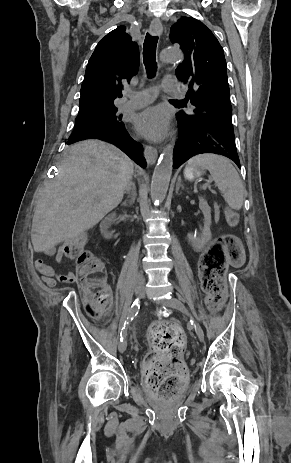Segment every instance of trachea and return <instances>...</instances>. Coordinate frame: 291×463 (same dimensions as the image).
<instances>
[{
    "instance_id": "1",
    "label": "trachea",
    "mask_w": 291,
    "mask_h": 463,
    "mask_svg": "<svg viewBox=\"0 0 291 463\" xmlns=\"http://www.w3.org/2000/svg\"><path fill=\"white\" fill-rule=\"evenodd\" d=\"M158 42V36H152L149 33L146 34L144 45H143V62L146 68V72L150 78L155 76L156 72V47ZM179 103H185L181 100H172Z\"/></svg>"
}]
</instances>
